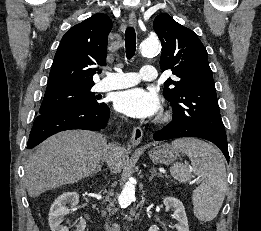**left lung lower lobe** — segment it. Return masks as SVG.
<instances>
[{
  "mask_svg": "<svg viewBox=\"0 0 261 231\" xmlns=\"http://www.w3.org/2000/svg\"><path fill=\"white\" fill-rule=\"evenodd\" d=\"M179 137H197L209 140L221 149L227 161L229 162L227 140L213 138L207 134H204L183 120L173 119L172 122H170L164 128L156 131L152 136V140H167Z\"/></svg>",
  "mask_w": 261,
  "mask_h": 231,
  "instance_id": "obj_1",
  "label": "left lung lower lobe"
}]
</instances>
